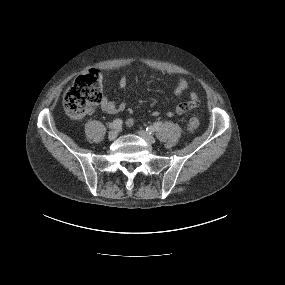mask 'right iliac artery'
<instances>
[{"label":"right iliac artery","instance_id":"82829eb1","mask_svg":"<svg viewBox=\"0 0 285 285\" xmlns=\"http://www.w3.org/2000/svg\"><path fill=\"white\" fill-rule=\"evenodd\" d=\"M122 126V120L116 119L112 123L109 124V129H117Z\"/></svg>","mask_w":285,"mask_h":285}]
</instances>
